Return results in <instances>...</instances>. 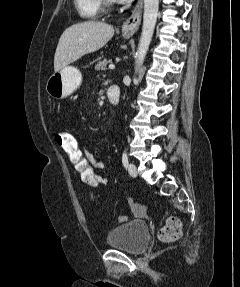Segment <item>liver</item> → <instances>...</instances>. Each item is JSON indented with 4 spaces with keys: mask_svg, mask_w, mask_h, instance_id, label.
<instances>
[{
    "mask_svg": "<svg viewBox=\"0 0 240 287\" xmlns=\"http://www.w3.org/2000/svg\"><path fill=\"white\" fill-rule=\"evenodd\" d=\"M114 35V28L105 22L85 21L73 24L61 35L55 56L54 71L102 48Z\"/></svg>",
    "mask_w": 240,
    "mask_h": 287,
    "instance_id": "1",
    "label": "liver"
}]
</instances>
